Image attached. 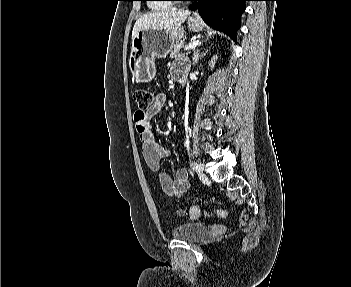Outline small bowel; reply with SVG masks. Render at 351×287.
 I'll return each instance as SVG.
<instances>
[{
	"label": "small bowel",
	"mask_w": 351,
	"mask_h": 287,
	"mask_svg": "<svg viewBox=\"0 0 351 287\" xmlns=\"http://www.w3.org/2000/svg\"><path fill=\"white\" fill-rule=\"evenodd\" d=\"M171 71L180 77L186 72L184 61H176L171 66ZM167 97L163 93L155 96L154 103L146 111H136L134 115L136 130L141 141V150L148 168L155 174L163 191L169 196H181L190 186L188 171L185 168L176 170L175 178L160 170V161L162 158L171 155L170 150L162 147L154 134L151 132L150 120L155 117L165 106Z\"/></svg>",
	"instance_id": "small-bowel-1"
}]
</instances>
